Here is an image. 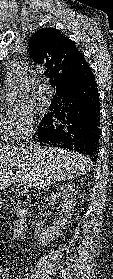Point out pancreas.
Returning a JSON list of instances; mask_svg holds the SVG:
<instances>
[{
  "label": "pancreas",
  "mask_w": 113,
  "mask_h": 279,
  "mask_svg": "<svg viewBox=\"0 0 113 279\" xmlns=\"http://www.w3.org/2000/svg\"><path fill=\"white\" fill-rule=\"evenodd\" d=\"M14 205H16V203H15V201H12L11 206H14Z\"/></svg>",
  "instance_id": "cf45deb5"
}]
</instances>
